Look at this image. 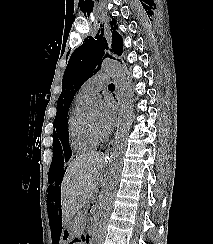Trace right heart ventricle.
I'll use <instances>...</instances> for the list:
<instances>
[{
  "label": "right heart ventricle",
  "instance_id": "e07e8e85",
  "mask_svg": "<svg viewBox=\"0 0 213 244\" xmlns=\"http://www.w3.org/2000/svg\"><path fill=\"white\" fill-rule=\"evenodd\" d=\"M87 100L77 94L67 121L70 146L75 152L79 153L93 151L99 144V140L93 135L88 118L83 112V106Z\"/></svg>",
  "mask_w": 213,
  "mask_h": 244
}]
</instances>
